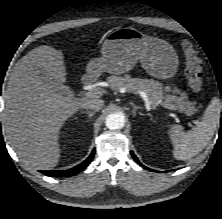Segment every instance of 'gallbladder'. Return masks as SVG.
<instances>
[{
  "label": "gallbladder",
  "mask_w": 222,
  "mask_h": 219,
  "mask_svg": "<svg viewBox=\"0 0 222 219\" xmlns=\"http://www.w3.org/2000/svg\"><path fill=\"white\" fill-rule=\"evenodd\" d=\"M38 75L40 76L41 80L51 86L53 89L61 92L63 94H70V90L68 87L63 85V83L57 81L54 78H51L50 75L42 69H37Z\"/></svg>",
  "instance_id": "obj_1"
}]
</instances>
